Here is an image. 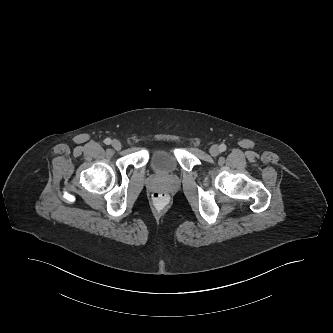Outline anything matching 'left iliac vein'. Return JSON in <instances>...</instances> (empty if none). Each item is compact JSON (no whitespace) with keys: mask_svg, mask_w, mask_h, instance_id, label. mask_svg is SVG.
I'll return each mask as SVG.
<instances>
[{"mask_svg":"<svg viewBox=\"0 0 333 333\" xmlns=\"http://www.w3.org/2000/svg\"><path fill=\"white\" fill-rule=\"evenodd\" d=\"M209 152L212 156H217L220 153V149L217 145H213L210 147Z\"/></svg>","mask_w":333,"mask_h":333,"instance_id":"1","label":"left iliac vein"}]
</instances>
